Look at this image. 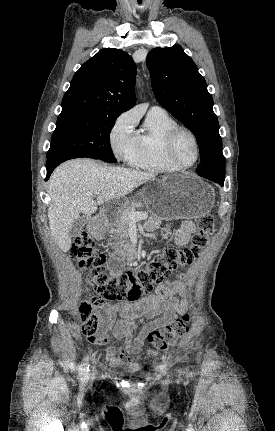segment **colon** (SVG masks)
<instances>
[{
  "instance_id": "colon-1",
  "label": "colon",
  "mask_w": 275,
  "mask_h": 431,
  "mask_svg": "<svg viewBox=\"0 0 275 431\" xmlns=\"http://www.w3.org/2000/svg\"><path fill=\"white\" fill-rule=\"evenodd\" d=\"M215 221L212 215L201 216L196 222V232L190 247L184 249L167 248L156 253L147 262L119 274L106 272V256L96 253L95 243L87 232L80 233L74 240L71 256L78 261L81 268L88 269V282L97 292L91 300L81 303L78 319L82 333L95 337L102 325L100 311L104 300L132 301L142 294L153 290L173 271L190 265L203 251L209 237L214 233ZM190 319L183 315L172 323L148 334L151 354L166 351L169 347L183 339L189 331Z\"/></svg>"
}]
</instances>
